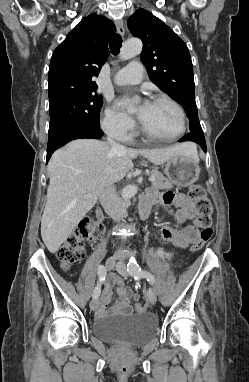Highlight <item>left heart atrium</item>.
I'll use <instances>...</instances> for the list:
<instances>
[{
  "label": "left heart atrium",
  "mask_w": 249,
  "mask_h": 382,
  "mask_svg": "<svg viewBox=\"0 0 249 382\" xmlns=\"http://www.w3.org/2000/svg\"><path fill=\"white\" fill-rule=\"evenodd\" d=\"M118 105L121 107V108H127L128 105H129V99L127 98H124V99H121L119 102H118ZM150 103L148 101H144L143 104L141 105L140 109H139V118L142 119L143 117V114L144 112L146 111V109L149 107Z\"/></svg>",
  "instance_id": "left-heart-atrium-1"
}]
</instances>
